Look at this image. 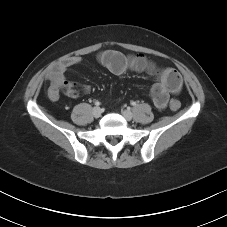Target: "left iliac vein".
<instances>
[{
  "instance_id": "1",
  "label": "left iliac vein",
  "mask_w": 227,
  "mask_h": 227,
  "mask_svg": "<svg viewBox=\"0 0 227 227\" xmlns=\"http://www.w3.org/2000/svg\"><path fill=\"white\" fill-rule=\"evenodd\" d=\"M122 115L127 121H130L133 118V113L130 110H123Z\"/></svg>"
}]
</instances>
